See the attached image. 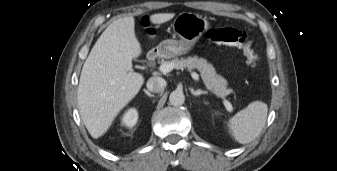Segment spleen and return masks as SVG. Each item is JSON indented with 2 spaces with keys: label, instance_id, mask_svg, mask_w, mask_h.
<instances>
[{
  "label": "spleen",
  "instance_id": "3e777b00",
  "mask_svg": "<svg viewBox=\"0 0 337 171\" xmlns=\"http://www.w3.org/2000/svg\"><path fill=\"white\" fill-rule=\"evenodd\" d=\"M268 106L261 101L251 102L229 119V133L240 144L252 142L262 131L267 119Z\"/></svg>",
  "mask_w": 337,
  "mask_h": 171
}]
</instances>
